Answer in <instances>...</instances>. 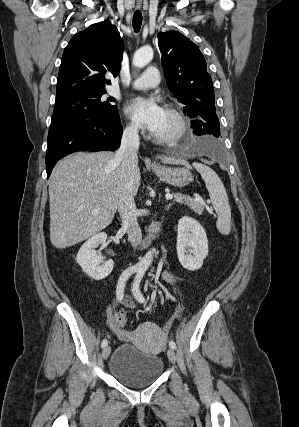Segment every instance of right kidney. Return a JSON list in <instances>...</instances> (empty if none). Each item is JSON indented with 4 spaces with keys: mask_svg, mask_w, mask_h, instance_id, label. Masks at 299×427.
<instances>
[{
    "mask_svg": "<svg viewBox=\"0 0 299 427\" xmlns=\"http://www.w3.org/2000/svg\"><path fill=\"white\" fill-rule=\"evenodd\" d=\"M106 240L107 234L103 232L92 236L81 246L76 256V261L82 270L95 280L104 279L113 270V260L105 261V258L98 256L95 250L99 244H104Z\"/></svg>",
    "mask_w": 299,
    "mask_h": 427,
    "instance_id": "obj_1",
    "label": "right kidney"
}]
</instances>
